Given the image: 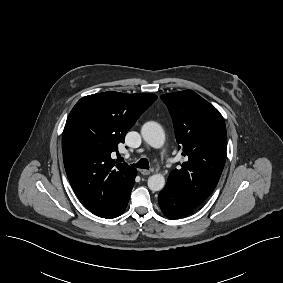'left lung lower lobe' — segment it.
Listing matches in <instances>:
<instances>
[{
    "label": "left lung lower lobe",
    "instance_id": "1",
    "mask_svg": "<svg viewBox=\"0 0 283 283\" xmlns=\"http://www.w3.org/2000/svg\"><path fill=\"white\" fill-rule=\"evenodd\" d=\"M158 202L162 212L169 219L185 217L197 208L188 202L181 192L168 181L166 187L159 193Z\"/></svg>",
    "mask_w": 283,
    "mask_h": 283
}]
</instances>
